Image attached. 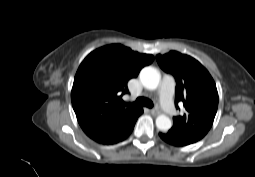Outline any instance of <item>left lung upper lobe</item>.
Here are the masks:
<instances>
[{"instance_id": "1", "label": "left lung upper lobe", "mask_w": 255, "mask_h": 177, "mask_svg": "<svg viewBox=\"0 0 255 177\" xmlns=\"http://www.w3.org/2000/svg\"><path fill=\"white\" fill-rule=\"evenodd\" d=\"M159 66L176 80L175 105L183 103L185 113L173 118L171 130L195 141L201 140L210 130L218 107L216 84L194 58L170 51L156 56Z\"/></svg>"}]
</instances>
